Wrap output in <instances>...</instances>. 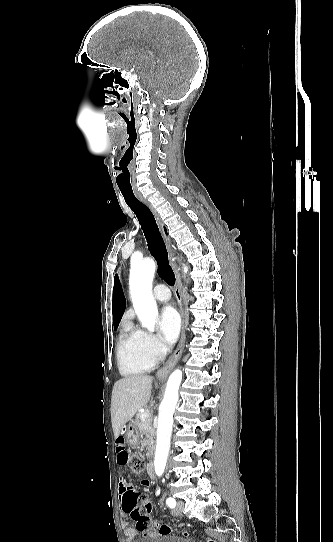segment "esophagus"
<instances>
[{
	"label": "esophagus",
	"mask_w": 333,
	"mask_h": 542,
	"mask_svg": "<svg viewBox=\"0 0 333 542\" xmlns=\"http://www.w3.org/2000/svg\"><path fill=\"white\" fill-rule=\"evenodd\" d=\"M135 195L139 198V200H141V202H143L151 210V212L153 213V215H154V217L156 219V222H157L158 226L162 230L161 218H160V215L158 214V212L156 211V209H154L152 204L150 202H148V200L145 199L140 192H135ZM167 248H168V252H169V262H170V264H171V266L173 268V271H174V274H175V279H176L175 298H176V301L178 303L179 312H180L181 316L184 319V309H183V301H182V282H181V278H180V275L178 273V270H177V268L175 266V263H174L171 243L168 240H167ZM184 344H185V331L182 330L180 340H179V342L177 344V347H176L175 351L173 352L172 356L164 364V366L161 367L156 372V377H157L158 380L165 379L168 376L169 372L175 367V365L180 360L181 355L183 353Z\"/></svg>",
	"instance_id": "34e87169"
}]
</instances>
